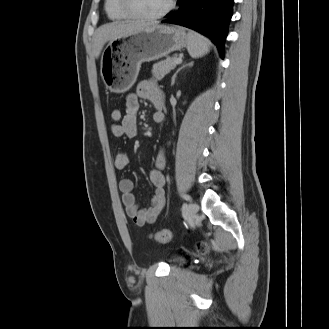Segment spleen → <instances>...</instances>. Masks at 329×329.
<instances>
[{"label":"spleen","instance_id":"obj_1","mask_svg":"<svg viewBox=\"0 0 329 329\" xmlns=\"http://www.w3.org/2000/svg\"><path fill=\"white\" fill-rule=\"evenodd\" d=\"M187 50L191 57L199 58L210 51V44L208 39L191 31L187 35Z\"/></svg>","mask_w":329,"mask_h":329}]
</instances>
